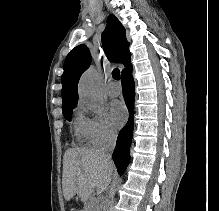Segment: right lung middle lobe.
Masks as SVG:
<instances>
[{"mask_svg": "<svg viewBox=\"0 0 219 211\" xmlns=\"http://www.w3.org/2000/svg\"><path fill=\"white\" fill-rule=\"evenodd\" d=\"M77 102L76 103H70V104H65L63 105V116L65 117V119L67 120H71V117H72V111H73V108L76 106Z\"/></svg>", "mask_w": 219, "mask_h": 211, "instance_id": "dd1d6c3e", "label": "right lung middle lobe"}]
</instances>
